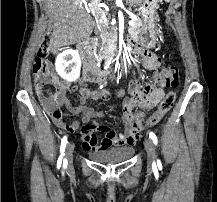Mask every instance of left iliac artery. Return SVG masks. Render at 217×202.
I'll list each match as a JSON object with an SVG mask.
<instances>
[{"instance_id": "44dca946", "label": "left iliac artery", "mask_w": 217, "mask_h": 202, "mask_svg": "<svg viewBox=\"0 0 217 202\" xmlns=\"http://www.w3.org/2000/svg\"><path fill=\"white\" fill-rule=\"evenodd\" d=\"M149 137L152 139V141H153V143L155 144V145H157V137H156V135L153 133V132H150L149 133ZM160 163V160H157V164H159Z\"/></svg>"}]
</instances>
